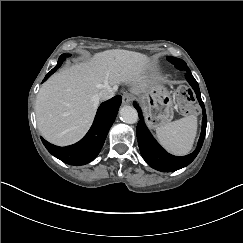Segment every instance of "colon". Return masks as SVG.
<instances>
[{
	"label": "colon",
	"instance_id": "obj_1",
	"mask_svg": "<svg viewBox=\"0 0 243 243\" xmlns=\"http://www.w3.org/2000/svg\"><path fill=\"white\" fill-rule=\"evenodd\" d=\"M177 101L180 109L183 113L186 114H194L195 108H194V98L191 90L186 88H179L177 90Z\"/></svg>",
	"mask_w": 243,
	"mask_h": 243
}]
</instances>
